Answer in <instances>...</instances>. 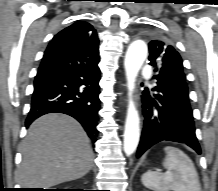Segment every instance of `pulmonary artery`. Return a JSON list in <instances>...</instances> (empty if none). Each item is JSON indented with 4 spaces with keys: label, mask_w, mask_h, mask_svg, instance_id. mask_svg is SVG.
Masks as SVG:
<instances>
[{
    "label": "pulmonary artery",
    "mask_w": 218,
    "mask_h": 191,
    "mask_svg": "<svg viewBox=\"0 0 218 191\" xmlns=\"http://www.w3.org/2000/svg\"><path fill=\"white\" fill-rule=\"evenodd\" d=\"M141 75L144 77H150L152 75V69L149 66H146L142 69Z\"/></svg>",
    "instance_id": "1"
}]
</instances>
